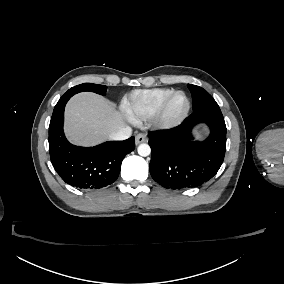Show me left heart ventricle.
<instances>
[{"label":"left heart ventricle","mask_w":284,"mask_h":284,"mask_svg":"<svg viewBox=\"0 0 284 284\" xmlns=\"http://www.w3.org/2000/svg\"><path fill=\"white\" fill-rule=\"evenodd\" d=\"M186 107V97L183 93H177L169 101L164 119L168 122L173 121L180 117Z\"/></svg>","instance_id":"b2bd125f"}]
</instances>
